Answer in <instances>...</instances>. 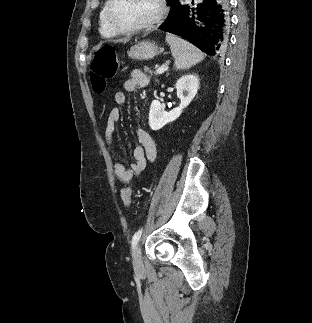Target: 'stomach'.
Masks as SVG:
<instances>
[{"instance_id":"obj_1","label":"stomach","mask_w":312,"mask_h":323,"mask_svg":"<svg viewBox=\"0 0 312 323\" xmlns=\"http://www.w3.org/2000/svg\"><path fill=\"white\" fill-rule=\"evenodd\" d=\"M163 48H158L155 42H149V40H144V42H139L132 46L128 52L129 58L132 60H152L157 54H161Z\"/></svg>"}]
</instances>
